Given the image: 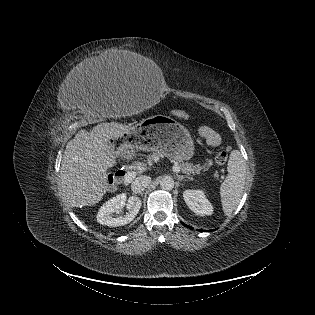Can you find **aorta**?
Returning <instances> with one entry per match:
<instances>
[{
  "instance_id": "obj_1",
  "label": "aorta",
  "mask_w": 315,
  "mask_h": 315,
  "mask_svg": "<svg viewBox=\"0 0 315 315\" xmlns=\"http://www.w3.org/2000/svg\"><path fill=\"white\" fill-rule=\"evenodd\" d=\"M174 180L170 176H165L160 182V186L164 190H172L174 188Z\"/></svg>"
}]
</instances>
